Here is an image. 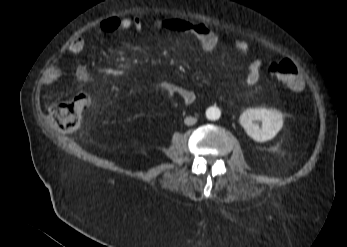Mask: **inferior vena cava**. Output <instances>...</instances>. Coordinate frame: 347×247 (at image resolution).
I'll use <instances>...</instances> for the list:
<instances>
[{"label": "inferior vena cava", "mask_w": 347, "mask_h": 247, "mask_svg": "<svg viewBox=\"0 0 347 247\" xmlns=\"http://www.w3.org/2000/svg\"><path fill=\"white\" fill-rule=\"evenodd\" d=\"M197 122V119L196 118H194V117H186L185 119H184V123L186 124V125H194L195 123Z\"/></svg>", "instance_id": "inferior-vena-cava-1"}]
</instances>
